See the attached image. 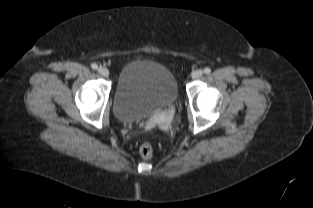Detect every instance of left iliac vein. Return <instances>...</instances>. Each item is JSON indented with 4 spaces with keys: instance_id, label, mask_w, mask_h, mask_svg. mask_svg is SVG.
I'll return each mask as SVG.
<instances>
[{
    "instance_id": "left-iliac-vein-1",
    "label": "left iliac vein",
    "mask_w": 313,
    "mask_h": 208,
    "mask_svg": "<svg viewBox=\"0 0 313 208\" xmlns=\"http://www.w3.org/2000/svg\"><path fill=\"white\" fill-rule=\"evenodd\" d=\"M203 73L204 72L201 69L195 70V71L192 72V78L193 79H198V78H200L203 75Z\"/></svg>"
}]
</instances>
